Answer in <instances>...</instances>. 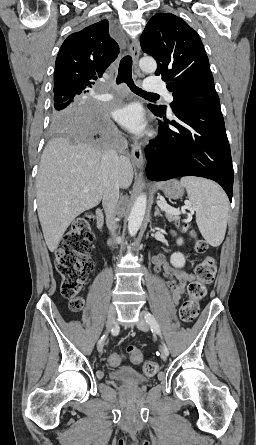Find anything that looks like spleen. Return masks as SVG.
Returning <instances> with one entry per match:
<instances>
[{"instance_id": "3e777b00", "label": "spleen", "mask_w": 256, "mask_h": 445, "mask_svg": "<svg viewBox=\"0 0 256 445\" xmlns=\"http://www.w3.org/2000/svg\"><path fill=\"white\" fill-rule=\"evenodd\" d=\"M196 210V222L204 239L213 247L225 237L229 201L220 186L199 177L187 176L180 180Z\"/></svg>"}]
</instances>
